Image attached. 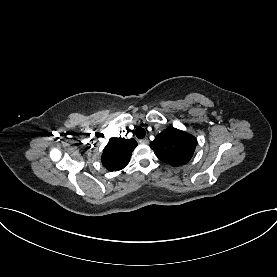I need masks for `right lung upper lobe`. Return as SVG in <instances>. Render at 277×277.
<instances>
[{"label": "right lung upper lobe", "mask_w": 277, "mask_h": 277, "mask_svg": "<svg viewBox=\"0 0 277 277\" xmlns=\"http://www.w3.org/2000/svg\"><path fill=\"white\" fill-rule=\"evenodd\" d=\"M137 142L134 139L111 138L103 150L101 161L108 171L123 169L130 161Z\"/></svg>", "instance_id": "1"}]
</instances>
